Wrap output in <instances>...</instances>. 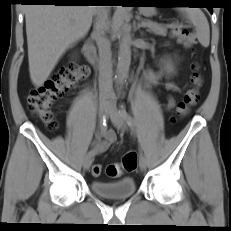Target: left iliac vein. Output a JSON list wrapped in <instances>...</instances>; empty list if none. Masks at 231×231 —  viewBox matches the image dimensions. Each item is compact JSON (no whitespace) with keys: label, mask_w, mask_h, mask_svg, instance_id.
Masks as SVG:
<instances>
[{"label":"left iliac vein","mask_w":231,"mask_h":231,"mask_svg":"<svg viewBox=\"0 0 231 231\" xmlns=\"http://www.w3.org/2000/svg\"><path fill=\"white\" fill-rule=\"evenodd\" d=\"M108 115L109 118L112 122V124L117 128V129H125V122L124 118L121 116L119 113L117 106H116V100L113 95L110 97V101L108 103ZM139 167L142 171L146 170L147 167V161L146 157L141 154L139 157Z\"/></svg>","instance_id":"1"}]
</instances>
